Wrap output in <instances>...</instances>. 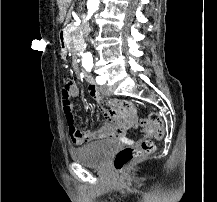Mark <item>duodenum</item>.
I'll return each instance as SVG.
<instances>
[{
  "instance_id": "duodenum-1",
  "label": "duodenum",
  "mask_w": 217,
  "mask_h": 202,
  "mask_svg": "<svg viewBox=\"0 0 217 202\" xmlns=\"http://www.w3.org/2000/svg\"><path fill=\"white\" fill-rule=\"evenodd\" d=\"M59 44H60L61 56L64 58L67 55V35L64 29L59 32ZM82 73L84 78L90 85L94 84V78L90 73H88L86 70H83Z\"/></svg>"
}]
</instances>
